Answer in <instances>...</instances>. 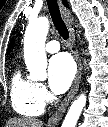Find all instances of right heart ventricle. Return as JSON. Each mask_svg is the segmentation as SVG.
<instances>
[{
    "label": "right heart ventricle",
    "instance_id": "e07e8e85",
    "mask_svg": "<svg viewBox=\"0 0 108 127\" xmlns=\"http://www.w3.org/2000/svg\"><path fill=\"white\" fill-rule=\"evenodd\" d=\"M10 98L13 109L20 115L33 117L43 112L44 104L36 94V83L16 70L11 78Z\"/></svg>",
    "mask_w": 108,
    "mask_h": 127
}]
</instances>
